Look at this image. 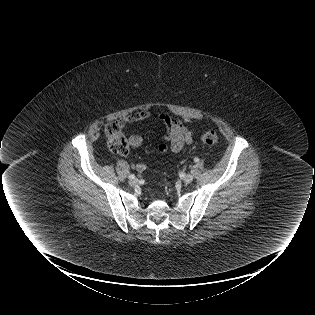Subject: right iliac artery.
I'll return each instance as SVG.
<instances>
[{
	"label": "right iliac artery",
	"instance_id": "obj_1",
	"mask_svg": "<svg viewBox=\"0 0 315 315\" xmlns=\"http://www.w3.org/2000/svg\"><path fill=\"white\" fill-rule=\"evenodd\" d=\"M128 178H129V179H134V178H135V175H134V174H130V175L128 176Z\"/></svg>",
	"mask_w": 315,
	"mask_h": 315
}]
</instances>
